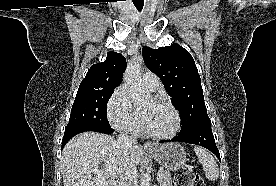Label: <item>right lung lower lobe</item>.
Returning a JSON list of instances; mask_svg holds the SVG:
<instances>
[{
  "label": "right lung lower lobe",
  "instance_id": "98d812e1",
  "mask_svg": "<svg viewBox=\"0 0 276 186\" xmlns=\"http://www.w3.org/2000/svg\"><path fill=\"white\" fill-rule=\"evenodd\" d=\"M86 131H95V132H100L104 134H111L114 132V130L110 127H104V126H98V125H80L76 126L71 129L65 130L64 137L62 140V149L65 146V144L75 135L86 132Z\"/></svg>",
  "mask_w": 276,
  "mask_h": 186
}]
</instances>
